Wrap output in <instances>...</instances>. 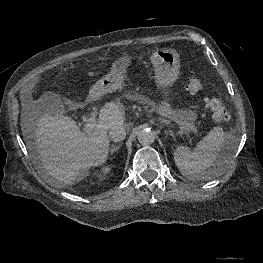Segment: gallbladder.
Segmentation results:
<instances>
[{
  "label": "gallbladder",
  "instance_id": "obj_1",
  "mask_svg": "<svg viewBox=\"0 0 263 263\" xmlns=\"http://www.w3.org/2000/svg\"><path fill=\"white\" fill-rule=\"evenodd\" d=\"M41 112L50 116H61L65 112V105L61 96L54 92H46L38 99Z\"/></svg>",
  "mask_w": 263,
  "mask_h": 263
}]
</instances>
